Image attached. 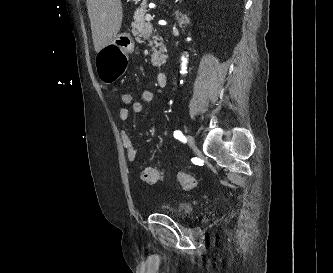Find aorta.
<instances>
[{
  "instance_id": "obj_1",
  "label": "aorta",
  "mask_w": 333,
  "mask_h": 273,
  "mask_svg": "<svg viewBox=\"0 0 333 273\" xmlns=\"http://www.w3.org/2000/svg\"><path fill=\"white\" fill-rule=\"evenodd\" d=\"M181 73H186V66H187V59L182 57V64H181Z\"/></svg>"
}]
</instances>
